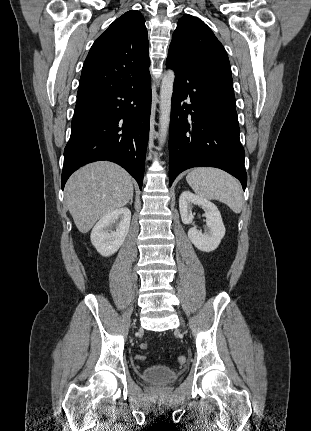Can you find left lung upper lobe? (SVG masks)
<instances>
[{"label":"left lung upper lobe","mask_w":311,"mask_h":431,"mask_svg":"<svg viewBox=\"0 0 311 431\" xmlns=\"http://www.w3.org/2000/svg\"><path fill=\"white\" fill-rule=\"evenodd\" d=\"M167 60L203 76L232 82L223 45L199 18L184 15L173 33Z\"/></svg>","instance_id":"1"}]
</instances>
